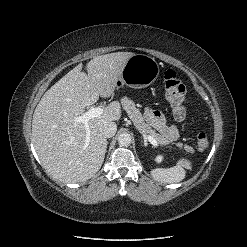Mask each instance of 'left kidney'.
<instances>
[{
    "label": "left kidney",
    "instance_id": "5707ae66",
    "mask_svg": "<svg viewBox=\"0 0 247 247\" xmlns=\"http://www.w3.org/2000/svg\"><path fill=\"white\" fill-rule=\"evenodd\" d=\"M162 159H163V157L161 155H159V156L156 157V161L158 163H160L162 161Z\"/></svg>",
    "mask_w": 247,
    "mask_h": 247
}]
</instances>
